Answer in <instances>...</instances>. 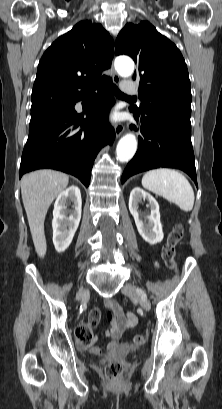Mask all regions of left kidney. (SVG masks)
Returning a JSON list of instances; mask_svg holds the SVG:
<instances>
[{"label": "left kidney", "instance_id": "5707ae66", "mask_svg": "<svg viewBox=\"0 0 222 409\" xmlns=\"http://www.w3.org/2000/svg\"><path fill=\"white\" fill-rule=\"evenodd\" d=\"M142 200H148L151 209L150 214L144 217L140 216L138 212L139 203ZM128 205L141 237L152 245L161 242L164 234L160 222L159 205L155 198L140 187H135L130 193Z\"/></svg>", "mask_w": 222, "mask_h": 409}]
</instances>
